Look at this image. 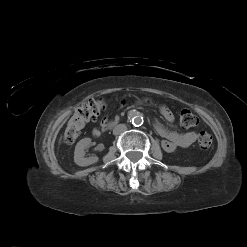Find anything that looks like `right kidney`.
Listing matches in <instances>:
<instances>
[{"label":"right kidney","instance_id":"ca27d5eb","mask_svg":"<svg viewBox=\"0 0 247 247\" xmlns=\"http://www.w3.org/2000/svg\"><path fill=\"white\" fill-rule=\"evenodd\" d=\"M90 143H91L90 138H84L77 143V145L75 147V151H74V162L78 166H81V167L89 166V165H92L98 161L97 156L89 157V158L84 157V155H85L84 150L88 147V145Z\"/></svg>","mask_w":247,"mask_h":247}]
</instances>
